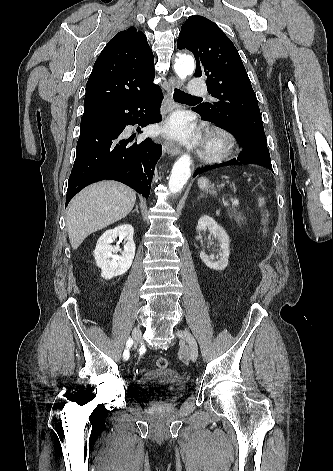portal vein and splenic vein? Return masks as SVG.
Returning <instances> with one entry per match:
<instances>
[{
  "mask_svg": "<svg viewBox=\"0 0 333 471\" xmlns=\"http://www.w3.org/2000/svg\"><path fill=\"white\" fill-rule=\"evenodd\" d=\"M231 203H232V206H238L239 205V200L238 199H232Z\"/></svg>",
  "mask_w": 333,
  "mask_h": 471,
  "instance_id": "obj_1",
  "label": "portal vein and splenic vein"
}]
</instances>
